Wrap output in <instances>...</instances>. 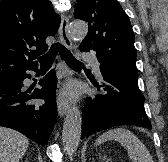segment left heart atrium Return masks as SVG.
Masks as SVG:
<instances>
[{"label": "left heart atrium", "mask_w": 168, "mask_h": 162, "mask_svg": "<svg viewBox=\"0 0 168 162\" xmlns=\"http://www.w3.org/2000/svg\"><path fill=\"white\" fill-rule=\"evenodd\" d=\"M75 94V89L73 87H69L67 90H66V95L68 96H72Z\"/></svg>", "instance_id": "1"}]
</instances>
